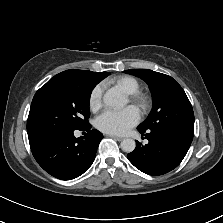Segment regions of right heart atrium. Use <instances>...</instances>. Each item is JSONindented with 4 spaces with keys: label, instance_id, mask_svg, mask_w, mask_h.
Listing matches in <instances>:
<instances>
[{
    "label": "right heart atrium",
    "instance_id": "right-heart-atrium-1",
    "mask_svg": "<svg viewBox=\"0 0 223 223\" xmlns=\"http://www.w3.org/2000/svg\"><path fill=\"white\" fill-rule=\"evenodd\" d=\"M104 85L97 84L94 86L89 94V107L92 111H97L102 106V95H103Z\"/></svg>",
    "mask_w": 223,
    "mask_h": 223
}]
</instances>
